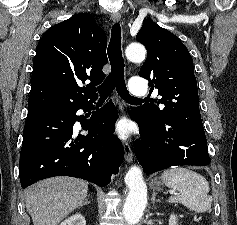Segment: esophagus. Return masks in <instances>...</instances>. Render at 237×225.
Wrapping results in <instances>:
<instances>
[{"instance_id": "obj_1", "label": "esophagus", "mask_w": 237, "mask_h": 225, "mask_svg": "<svg viewBox=\"0 0 237 225\" xmlns=\"http://www.w3.org/2000/svg\"><path fill=\"white\" fill-rule=\"evenodd\" d=\"M111 19L115 23L119 22L121 20L120 13H118V12L112 13ZM118 104H119L120 113L122 114L124 112V107L121 104V102H118ZM122 145L124 148L126 160H127V162L131 163L133 161V153H132L131 146L127 141H122Z\"/></svg>"}]
</instances>
